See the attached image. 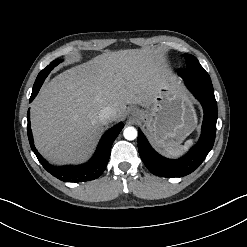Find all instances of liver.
I'll use <instances>...</instances> for the list:
<instances>
[{
    "label": "liver",
    "instance_id": "1",
    "mask_svg": "<svg viewBox=\"0 0 247 247\" xmlns=\"http://www.w3.org/2000/svg\"><path fill=\"white\" fill-rule=\"evenodd\" d=\"M175 83L163 57L151 49L107 52L48 82L31 104V128L39 152L55 164L88 158L102 130L105 107L122 120L126 105L149 107L156 93Z\"/></svg>",
    "mask_w": 247,
    "mask_h": 247
}]
</instances>
